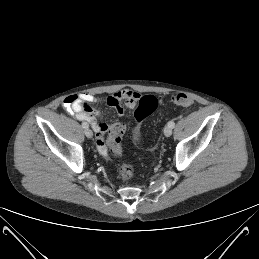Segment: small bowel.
<instances>
[{
    "label": "small bowel",
    "mask_w": 259,
    "mask_h": 259,
    "mask_svg": "<svg viewBox=\"0 0 259 259\" xmlns=\"http://www.w3.org/2000/svg\"><path fill=\"white\" fill-rule=\"evenodd\" d=\"M140 95L131 90H120L106 99L109 106L115 108L119 116L125 113L124 106L128 108L135 107ZM97 98L89 93H82L79 96H69L64 101V107L73 113L79 120H84L90 123L96 133V143L101 154L106 153L105 132L108 126L99 120L100 113L88 107L90 103H96ZM116 123V122H114Z\"/></svg>",
    "instance_id": "c3829d8e"
}]
</instances>
